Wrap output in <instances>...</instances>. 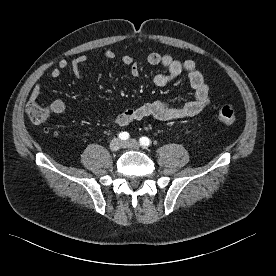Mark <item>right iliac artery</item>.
<instances>
[{
    "mask_svg": "<svg viewBox=\"0 0 276 276\" xmlns=\"http://www.w3.org/2000/svg\"><path fill=\"white\" fill-rule=\"evenodd\" d=\"M118 137L121 139V140H127L129 139V133L124 131V132H121L119 133Z\"/></svg>",
    "mask_w": 276,
    "mask_h": 276,
    "instance_id": "obj_1",
    "label": "right iliac artery"
}]
</instances>
